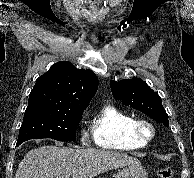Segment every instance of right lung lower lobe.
Listing matches in <instances>:
<instances>
[{
  "label": "right lung lower lobe",
  "instance_id": "98d812e1",
  "mask_svg": "<svg viewBox=\"0 0 194 178\" xmlns=\"http://www.w3.org/2000/svg\"><path fill=\"white\" fill-rule=\"evenodd\" d=\"M21 143H23V142H17V146H19Z\"/></svg>",
  "mask_w": 194,
  "mask_h": 178
}]
</instances>
